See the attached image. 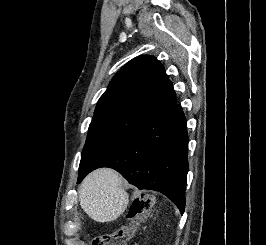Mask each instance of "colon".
Wrapping results in <instances>:
<instances>
[{"instance_id":"obj_1","label":"colon","mask_w":266,"mask_h":245,"mask_svg":"<svg viewBox=\"0 0 266 245\" xmlns=\"http://www.w3.org/2000/svg\"><path fill=\"white\" fill-rule=\"evenodd\" d=\"M152 207L153 200L150 197L135 198L126 213L127 224L120 226L114 232L96 236L92 245H132L136 229Z\"/></svg>"}]
</instances>
